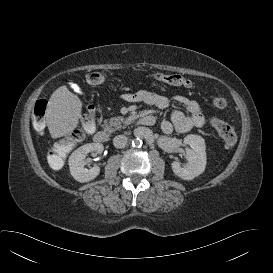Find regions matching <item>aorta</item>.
Here are the masks:
<instances>
[{"label": "aorta", "mask_w": 273, "mask_h": 273, "mask_svg": "<svg viewBox=\"0 0 273 273\" xmlns=\"http://www.w3.org/2000/svg\"><path fill=\"white\" fill-rule=\"evenodd\" d=\"M132 146L133 147H140L142 146V140L140 138H136L132 141Z\"/></svg>", "instance_id": "1"}]
</instances>
